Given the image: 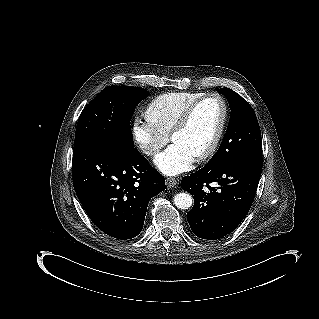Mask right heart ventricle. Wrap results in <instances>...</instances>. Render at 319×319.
Wrapping results in <instances>:
<instances>
[{
	"label": "right heart ventricle",
	"instance_id": "e07e8e85",
	"mask_svg": "<svg viewBox=\"0 0 319 319\" xmlns=\"http://www.w3.org/2000/svg\"><path fill=\"white\" fill-rule=\"evenodd\" d=\"M203 97L202 93H172L158 98L146 113V125L156 130L167 132L182 114L196 101Z\"/></svg>",
	"mask_w": 319,
	"mask_h": 319
}]
</instances>
